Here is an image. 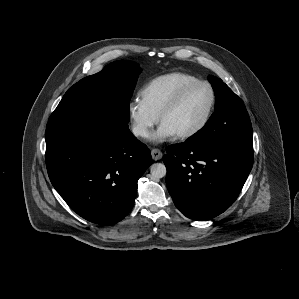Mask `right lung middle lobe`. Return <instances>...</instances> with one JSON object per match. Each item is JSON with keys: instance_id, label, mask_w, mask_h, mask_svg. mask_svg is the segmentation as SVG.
<instances>
[{"instance_id": "right-lung-middle-lobe-1", "label": "right lung middle lobe", "mask_w": 299, "mask_h": 299, "mask_svg": "<svg viewBox=\"0 0 299 299\" xmlns=\"http://www.w3.org/2000/svg\"><path fill=\"white\" fill-rule=\"evenodd\" d=\"M139 65L119 60L102 71L74 84L63 96L48 122H74L78 119L108 114L129 122V102L138 76Z\"/></svg>"}]
</instances>
